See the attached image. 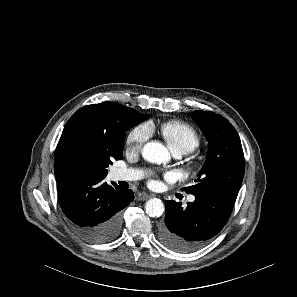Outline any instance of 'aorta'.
<instances>
[{
	"instance_id": "1",
	"label": "aorta",
	"mask_w": 297,
	"mask_h": 297,
	"mask_svg": "<svg viewBox=\"0 0 297 297\" xmlns=\"http://www.w3.org/2000/svg\"><path fill=\"white\" fill-rule=\"evenodd\" d=\"M143 158L151 163H161L168 159L169 153L161 143L148 142L142 149ZM146 214L150 217H159L164 212V204L160 199H149L145 204Z\"/></svg>"
}]
</instances>
